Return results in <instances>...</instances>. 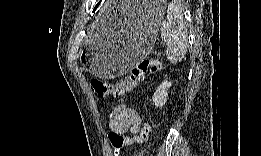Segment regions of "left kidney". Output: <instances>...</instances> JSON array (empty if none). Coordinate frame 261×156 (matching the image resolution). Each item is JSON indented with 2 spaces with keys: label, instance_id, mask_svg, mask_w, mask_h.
<instances>
[{
  "label": "left kidney",
  "instance_id": "5707ae66",
  "mask_svg": "<svg viewBox=\"0 0 261 156\" xmlns=\"http://www.w3.org/2000/svg\"><path fill=\"white\" fill-rule=\"evenodd\" d=\"M172 86L171 81L164 80L156 89L154 96H153V102L156 107H162L168 97V89Z\"/></svg>",
  "mask_w": 261,
  "mask_h": 156
}]
</instances>
